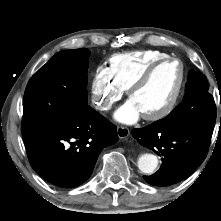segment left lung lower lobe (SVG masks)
Returning <instances> with one entry per match:
<instances>
[{
    "mask_svg": "<svg viewBox=\"0 0 221 221\" xmlns=\"http://www.w3.org/2000/svg\"><path fill=\"white\" fill-rule=\"evenodd\" d=\"M213 128L185 125L163 128L156 122L140 129H133L137 141L162 157L160 169L144 176L154 186H168L191 175L204 161Z\"/></svg>",
    "mask_w": 221,
    "mask_h": 221,
    "instance_id": "left-lung-lower-lobe-1",
    "label": "left lung lower lobe"
}]
</instances>
